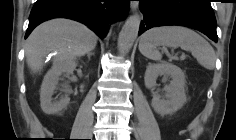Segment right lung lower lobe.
<instances>
[{"instance_id": "right-lung-lower-lobe-1", "label": "right lung lower lobe", "mask_w": 236, "mask_h": 140, "mask_svg": "<svg viewBox=\"0 0 236 140\" xmlns=\"http://www.w3.org/2000/svg\"><path fill=\"white\" fill-rule=\"evenodd\" d=\"M129 4L130 0H37L31 10L25 38L40 23L63 17L87 25L103 39L110 23L127 16Z\"/></svg>"}]
</instances>
